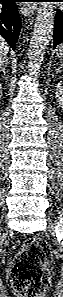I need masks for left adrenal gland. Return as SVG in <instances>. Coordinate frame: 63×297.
I'll return each instance as SVG.
<instances>
[{
  "instance_id": "left-adrenal-gland-1",
  "label": "left adrenal gland",
  "mask_w": 63,
  "mask_h": 297,
  "mask_svg": "<svg viewBox=\"0 0 63 297\" xmlns=\"http://www.w3.org/2000/svg\"><path fill=\"white\" fill-rule=\"evenodd\" d=\"M62 66H63V64L61 63L60 67L57 69V73L63 68Z\"/></svg>"
}]
</instances>
